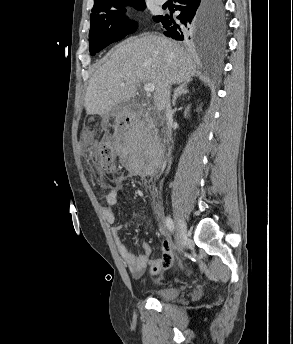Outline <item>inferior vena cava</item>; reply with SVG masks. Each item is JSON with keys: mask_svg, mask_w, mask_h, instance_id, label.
Instances as JSON below:
<instances>
[{"mask_svg": "<svg viewBox=\"0 0 293 344\" xmlns=\"http://www.w3.org/2000/svg\"><path fill=\"white\" fill-rule=\"evenodd\" d=\"M163 103H164V109H165V117H166V121H167V136L170 139L171 136V130L169 128V124L172 120V110H171V104H170V85L167 86V88L165 89V92L163 93ZM168 139V141H169ZM168 170L170 169V165H171V150L170 148L168 149Z\"/></svg>", "mask_w": 293, "mask_h": 344, "instance_id": "inferior-vena-cava-1", "label": "inferior vena cava"}]
</instances>
